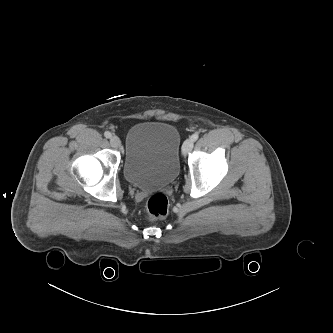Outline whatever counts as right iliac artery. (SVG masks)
<instances>
[{
  "label": "right iliac artery",
  "instance_id": "1",
  "mask_svg": "<svg viewBox=\"0 0 333 333\" xmlns=\"http://www.w3.org/2000/svg\"><path fill=\"white\" fill-rule=\"evenodd\" d=\"M104 136H105L106 138H111L112 134H111L109 131H106V132L104 133Z\"/></svg>",
  "mask_w": 333,
  "mask_h": 333
}]
</instances>
